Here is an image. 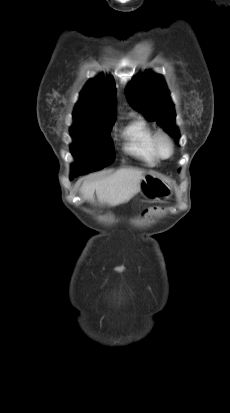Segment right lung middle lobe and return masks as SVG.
Instances as JSON below:
<instances>
[{
  "label": "right lung middle lobe",
  "mask_w": 230,
  "mask_h": 413,
  "mask_svg": "<svg viewBox=\"0 0 230 413\" xmlns=\"http://www.w3.org/2000/svg\"><path fill=\"white\" fill-rule=\"evenodd\" d=\"M114 122L115 119L103 120L71 128L70 134L74 140L71 152L77 162L71 166V179L100 170L114 161V146L110 137Z\"/></svg>",
  "instance_id": "obj_1"
}]
</instances>
